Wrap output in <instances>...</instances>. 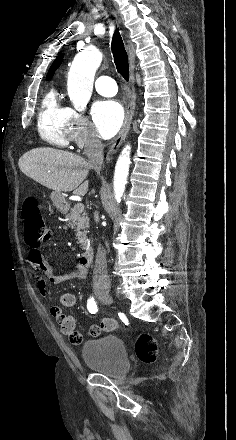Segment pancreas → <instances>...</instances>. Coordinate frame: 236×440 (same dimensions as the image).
Returning <instances> with one entry per match:
<instances>
[{
    "label": "pancreas",
    "instance_id": "obj_1",
    "mask_svg": "<svg viewBox=\"0 0 236 440\" xmlns=\"http://www.w3.org/2000/svg\"><path fill=\"white\" fill-rule=\"evenodd\" d=\"M82 214V215H81ZM68 218V224L72 229L76 228V237L81 244V248L85 249L88 245L87 229L89 227V218L86 213H82L73 207L66 215Z\"/></svg>",
    "mask_w": 236,
    "mask_h": 440
}]
</instances>
